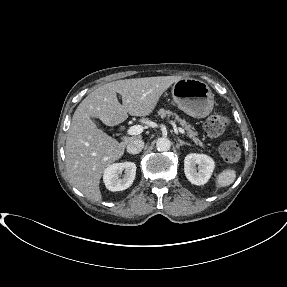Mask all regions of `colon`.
Listing matches in <instances>:
<instances>
[{
  "mask_svg": "<svg viewBox=\"0 0 287 287\" xmlns=\"http://www.w3.org/2000/svg\"><path fill=\"white\" fill-rule=\"evenodd\" d=\"M229 124L228 117L223 113L210 116L204 124V132L210 138H217L225 131ZM222 159L228 163H235L240 159L241 150L235 141H226L219 148Z\"/></svg>",
  "mask_w": 287,
  "mask_h": 287,
  "instance_id": "1",
  "label": "colon"
}]
</instances>
